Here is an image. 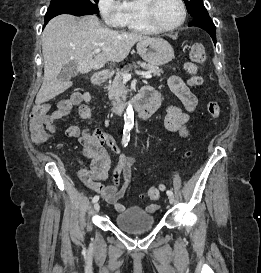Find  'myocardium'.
<instances>
[{"instance_id":"f54148a6","label":"myocardium","mask_w":261,"mask_h":273,"mask_svg":"<svg viewBox=\"0 0 261 273\" xmlns=\"http://www.w3.org/2000/svg\"><path fill=\"white\" fill-rule=\"evenodd\" d=\"M177 1L180 5L181 11H182L181 20L176 25L167 28V27L161 26L156 19V9H157V6H158L160 0H146L144 9H145V17H146L148 24L157 32L167 33V32H173V31L179 29L186 21L187 8H186L185 2L183 0H177Z\"/></svg>"}]
</instances>
